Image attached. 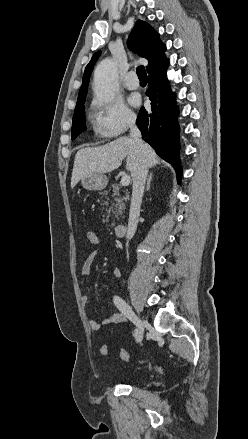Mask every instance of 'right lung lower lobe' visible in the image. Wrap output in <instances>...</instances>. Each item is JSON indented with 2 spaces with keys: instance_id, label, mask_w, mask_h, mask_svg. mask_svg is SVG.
Returning <instances> with one entry per match:
<instances>
[{
  "instance_id": "right-lung-lower-lobe-1",
  "label": "right lung lower lobe",
  "mask_w": 248,
  "mask_h": 439,
  "mask_svg": "<svg viewBox=\"0 0 248 439\" xmlns=\"http://www.w3.org/2000/svg\"><path fill=\"white\" fill-rule=\"evenodd\" d=\"M168 63L148 72L149 85L146 95L151 100V109L141 107L136 124L142 138L156 153L172 164L177 171L179 182L182 170L179 160V126L177 122L178 106L175 95L170 89L166 70Z\"/></svg>"
}]
</instances>
